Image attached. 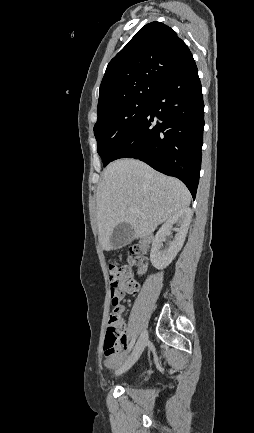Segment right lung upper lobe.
Here are the masks:
<instances>
[{"label":"right lung upper lobe","instance_id":"obj_1","mask_svg":"<svg viewBox=\"0 0 254 433\" xmlns=\"http://www.w3.org/2000/svg\"><path fill=\"white\" fill-rule=\"evenodd\" d=\"M192 60L187 45L172 28L161 22L146 24L108 64L97 111L130 99H152Z\"/></svg>","mask_w":254,"mask_h":433}]
</instances>
